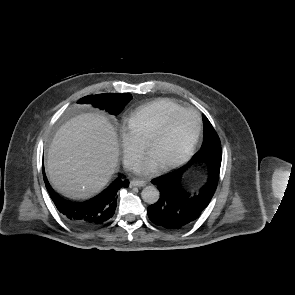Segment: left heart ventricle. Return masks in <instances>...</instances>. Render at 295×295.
<instances>
[{
    "mask_svg": "<svg viewBox=\"0 0 295 295\" xmlns=\"http://www.w3.org/2000/svg\"><path fill=\"white\" fill-rule=\"evenodd\" d=\"M196 129L195 117L192 114L177 116L149 151L159 166L178 158L188 147Z\"/></svg>",
    "mask_w": 295,
    "mask_h": 295,
    "instance_id": "b2bd125f",
    "label": "left heart ventricle"
}]
</instances>
